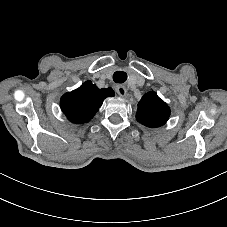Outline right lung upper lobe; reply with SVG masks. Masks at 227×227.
I'll return each mask as SVG.
<instances>
[{
	"instance_id": "right-lung-upper-lobe-1",
	"label": "right lung upper lobe",
	"mask_w": 227,
	"mask_h": 227,
	"mask_svg": "<svg viewBox=\"0 0 227 227\" xmlns=\"http://www.w3.org/2000/svg\"><path fill=\"white\" fill-rule=\"evenodd\" d=\"M108 96H114L111 88L99 89L91 81H86L79 88L66 93L61 98L60 107L70 122L86 123L93 118Z\"/></svg>"
}]
</instances>
